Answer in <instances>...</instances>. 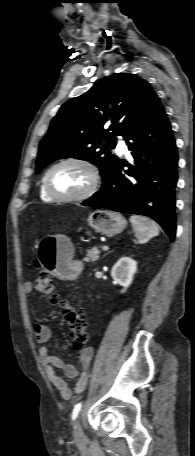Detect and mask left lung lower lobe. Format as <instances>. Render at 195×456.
<instances>
[{"instance_id":"obj_1","label":"left lung lower lobe","mask_w":195,"mask_h":456,"mask_svg":"<svg viewBox=\"0 0 195 456\" xmlns=\"http://www.w3.org/2000/svg\"><path fill=\"white\" fill-rule=\"evenodd\" d=\"M133 167L118 161L102 188L82 205L145 215L156 220L174 240L177 148L171 125L158 96L133 123L126 136ZM129 170L121 173L123 166Z\"/></svg>"}]
</instances>
